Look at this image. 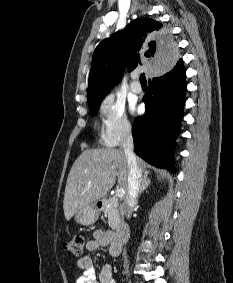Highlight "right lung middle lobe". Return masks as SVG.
Wrapping results in <instances>:
<instances>
[{"label":"right lung middle lobe","instance_id":"dd1d6c3e","mask_svg":"<svg viewBox=\"0 0 233 283\" xmlns=\"http://www.w3.org/2000/svg\"><path fill=\"white\" fill-rule=\"evenodd\" d=\"M99 106H100V104L89 106L90 113H91L92 116H95L97 114Z\"/></svg>","mask_w":233,"mask_h":283}]
</instances>
